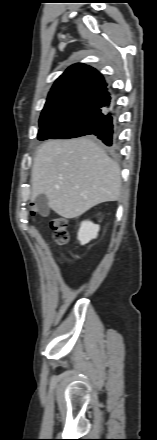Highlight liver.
<instances>
[{"instance_id": "liver-1", "label": "liver", "mask_w": 157, "mask_h": 440, "mask_svg": "<svg viewBox=\"0 0 157 440\" xmlns=\"http://www.w3.org/2000/svg\"><path fill=\"white\" fill-rule=\"evenodd\" d=\"M32 200L40 194L58 215L72 219L121 195L120 167L88 138L52 140L34 158Z\"/></svg>"}]
</instances>
